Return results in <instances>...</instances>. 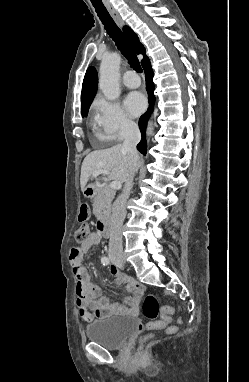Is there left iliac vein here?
<instances>
[{
	"label": "left iliac vein",
	"mask_w": 249,
	"mask_h": 382,
	"mask_svg": "<svg viewBox=\"0 0 249 382\" xmlns=\"http://www.w3.org/2000/svg\"><path fill=\"white\" fill-rule=\"evenodd\" d=\"M117 267L122 268L121 264H115Z\"/></svg>",
	"instance_id": "left-iliac-vein-1"
}]
</instances>
